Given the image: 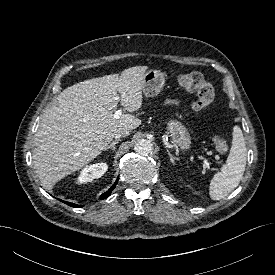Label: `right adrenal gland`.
Here are the masks:
<instances>
[{
    "mask_svg": "<svg viewBox=\"0 0 275 275\" xmlns=\"http://www.w3.org/2000/svg\"><path fill=\"white\" fill-rule=\"evenodd\" d=\"M120 141V138L115 139L109 146H107L104 151H107L109 149H111L112 152H114L115 150V145Z\"/></svg>",
    "mask_w": 275,
    "mask_h": 275,
    "instance_id": "obj_1",
    "label": "right adrenal gland"
}]
</instances>
